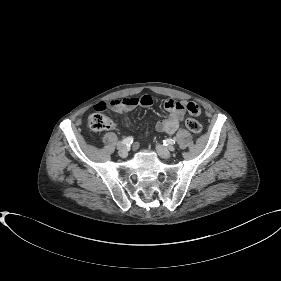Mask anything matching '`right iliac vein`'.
I'll return each instance as SVG.
<instances>
[{"mask_svg": "<svg viewBox=\"0 0 281 281\" xmlns=\"http://www.w3.org/2000/svg\"><path fill=\"white\" fill-rule=\"evenodd\" d=\"M118 154L122 158L127 157L128 151H127L126 147H120L119 150H118Z\"/></svg>", "mask_w": 281, "mask_h": 281, "instance_id": "right-iliac-vein-1", "label": "right iliac vein"}]
</instances>
